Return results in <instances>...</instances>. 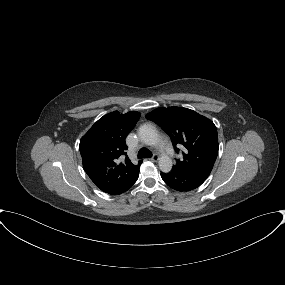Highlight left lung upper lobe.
Returning a JSON list of instances; mask_svg holds the SVG:
<instances>
[{"label": "left lung upper lobe", "mask_w": 285, "mask_h": 285, "mask_svg": "<svg viewBox=\"0 0 285 285\" xmlns=\"http://www.w3.org/2000/svg\"><path fill=\"white\" fill-rule=\"evenodd\" d=\"M171 138L176 152L183 145V159L173 167L183 170L211 171L218 154V135L214 123L197 112L183 107L157 108L146 115Z\"/></svg>", "instance_id": "left-lung-upper-lobe-1"}]
</instances>
